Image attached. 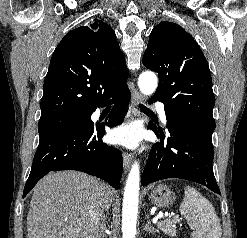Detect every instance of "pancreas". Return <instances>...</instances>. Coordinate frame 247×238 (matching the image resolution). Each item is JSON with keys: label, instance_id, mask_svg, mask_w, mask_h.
Instances as JSON below:
<instances>
[{"label": "pancreas", "instance_id": "pancreas-1", "mask_svg": "<svg viewBox=\"0 0 247 238\" xmlns=\"http://www.w3.org/2000/svg\"><path fill=\"white\" fill-rule=\"evenodd\" d=\"M175 220H166L159 222L157 224L158 231H162L164 234L175 237L177 233V229L175 226Z\"/></svg>", "mask_w": 247, "mask_h": 238}]
</instances>
